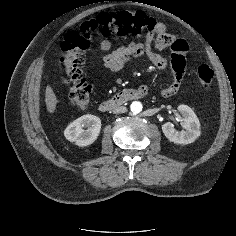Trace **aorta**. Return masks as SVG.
Segmentation results:
<instances>
[{"label": "aorta", "instance_id": "762f6f07", "mask_svg": "<svg viewBox=\"0 0 236 236\" xmlns=\"http://www.w3.org/2000/svg\"><path fill=\"white\" fill-rule=\"evenodd\" d=\"M142 108H143L142 103L139 101H134L130 105V109H131L132 113H134V114L140 113L142 111Z\"/></svg>", "mask_w": 236, "mask_h": 236}]
</instances>
